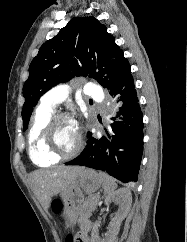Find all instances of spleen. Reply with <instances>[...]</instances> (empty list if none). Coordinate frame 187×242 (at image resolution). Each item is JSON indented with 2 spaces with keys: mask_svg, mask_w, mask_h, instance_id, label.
Wrapping results in <instances>:
<instances>
[{
  "mask_svg": "<svg viewBox=\"0 0 187 242\" xmlns=\"http://www.w3.org/2000/svg\"><path fill=\"white\" fill-rule=\"evenodd\" d=\"M101 180H102V187L104 190V194L106 195H110L114 192V190L117 188V184L115 182V180L107 175L106 173H99Z\"/></svg>",
  "mask_w": 187,
  "mask_h": 242,
  "instance_id": "1",
  "label": "spleen"
}]
</instances>
